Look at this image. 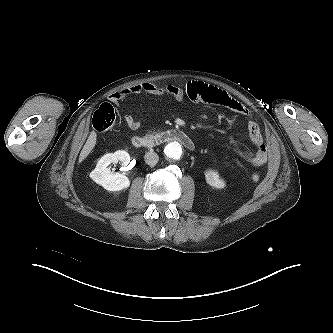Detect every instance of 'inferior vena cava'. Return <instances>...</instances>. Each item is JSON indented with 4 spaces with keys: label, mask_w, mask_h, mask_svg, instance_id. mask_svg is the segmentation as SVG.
<instances>
[{
    "label": "inferior vena cava",
    "mask_w": 333,
    "mask_h": 333,
    "mask_svg": "<svg viewBox=\"0 0 333 333\" xmlns=\"http://www.w3.org/2000/svg\"><path fill=\"white\" fill-rule=\"evenodd\" d=\"M144 159L148 165L154 166L159 161V156L157 155V153L150 151L145 154Z\"/></svg>",
    "instance_id": "1"
}]
</instances>
